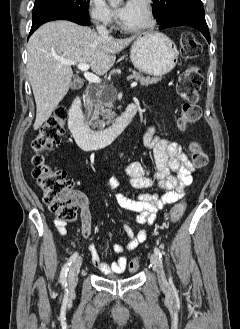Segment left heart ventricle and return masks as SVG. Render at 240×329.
Returning a JSON list of instances; mask_svg holds the SVG:
<instances>
[{
    "label": "left heart ventricle",
    "instance_id": "obj_1",
    "mask_svg": "<svg viewBox=\"0 0 240 329\" xmlns=\"http://www.w3.org/2000/svg\"><path fill=\"white\" fill-rule=\"evenodd\" d=\"M122 21L128 26H138L146 22V11L139 0H133L128 16Z\"/></svg>",
    "mask_w": 240,
    "mask_h": 329
}]
</instances>
